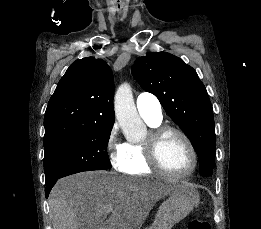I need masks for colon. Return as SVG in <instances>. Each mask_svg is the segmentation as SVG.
Instances as JSON below:
<instances>
[{
    "mask_svg": "<svg viewBox=\"0 0 261 229\" xmlns=\"http://www.w3.org/2000/svg\"><path fill=\"white\" fill-rule=\"evenodd\" d=\"M186 229H211V225L201 218H192L188 224Z\"/></svg>",
    "mask_w": 261,
    "mask_h": 229,
    "instance_id": "obj_1",
    "label": "colon"
}]
</instances>
